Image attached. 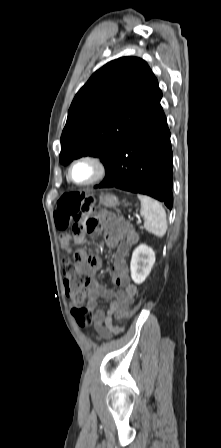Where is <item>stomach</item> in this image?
<instances>
[{"instance_id": "stomach-1", "label": "stomach", "mask_w": 221, "mask_h": 448, "mask_svg": "<svg viewBox=\"0 0 221 448\" xmlns=\"http://www.w3.org/2000/svg\"><path fill=\"white\" fill-rule=\"evenodd\" d=\"M100 202L105 207H115L118 204V199L116 196L111 194H106L103 197L100 198Z\"/></svg>"}]
</instances>
